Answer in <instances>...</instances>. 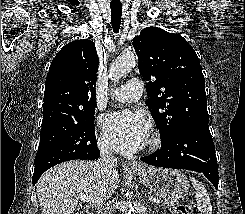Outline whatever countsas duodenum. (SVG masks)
I'll return each instance as SVG.
<instances>
[{
	"label": "duodenum",
	"mask_w": 245,
	"mask_h": 214,
	"mask_svg": "<svg viewBox=\"0 0 245 214\" xmlns=\"http://www.w3.org/2000/svg\"><path fill=\"white\" fill-rule=\"evenodd\" d=\"M99 212V207L98 205H91L88 209H87V213L86 214H98Z\"/></svg>",
	"instance_id": "410a0bca"
}]
</instances>
